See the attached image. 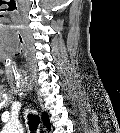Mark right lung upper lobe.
<instances>
[{"mask_svg":"<svg viewBox=\"0 0 120 133\" xmlns=\"http://www.w3.org/2000/svg\"><path fill=\"white\" fill-rule=\"evenodd\" d=\"M42 117H43V123H44V125H45L48 129H50L51 124H50L48 115H47V114H44Z\"/></svg>","mask_w":120,"mask_h":133,"instance_id":"right-lung-upper-lobe-1","label":"right lung upper lobe"}]
</instances>
